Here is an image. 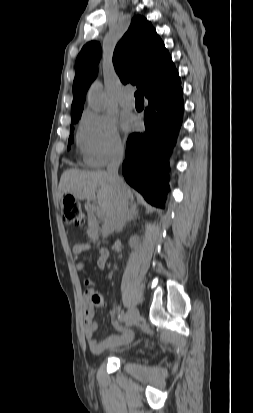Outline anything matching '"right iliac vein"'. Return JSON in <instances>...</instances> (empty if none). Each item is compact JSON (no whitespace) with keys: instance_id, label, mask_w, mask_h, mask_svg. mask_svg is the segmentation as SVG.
Instances as JSON below:
<instances>
[{"instance_id":"1","label":"right iliac vein","mask_w":253,"mask_h":413,"mask_svg":"<svg viewBox=\"0 0 253 413\" xmlns=\"http://www.w3.org/2000/svg\"><path fill=\"white\" fill-rule=\"evenodd\" d=\"M138 320H139V312L133 308L128 313V318L126 320V326H132L136 324Z\"/></svg>"}]
</instances>
